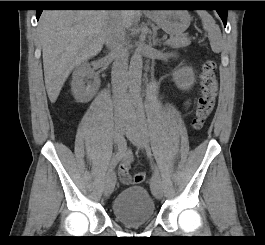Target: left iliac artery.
Segmentation results:
<instances>
[{
    "mask_svg": "<svg viewBox=\"0 0 265 245\" xmlns=\"http://www.w3.org/2000/svg\"><path fill=\"white\" fill-rule=\"evenodd\" d=\"M137 119H138V121L141 125V128H142L143 132L145 133V135L150 137V134L148 132V127H147V119H146L142 104L137 105ZM155 175L159 176V170L157 167H155ZM151 185H152V179H151Z\"/></svg>",
    "mask_w": 265,
    "mask_h": 245,
    "instance_id": "1",
    "label": "left iliac artery"
}]
</instances>
